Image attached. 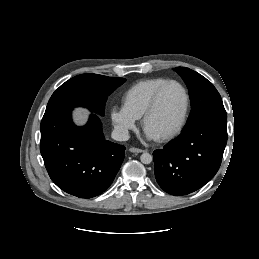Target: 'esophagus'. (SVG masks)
<instances>
[{"instance_id":"1","label":"esophagus","mask_w":259,"mask_h":259,"mask_svg":"<svg viewBox=\"0 0 259 259\" xmlns=\"http://www.w3.org/2000/svg\"><path fill=\"white\" fill-rule=\"evenodd\" d=\"M129 151L132 152V153H142V152H145V150L139 149V148H135V147H131L129 149Z\"/></svg>"}]
</instances>
